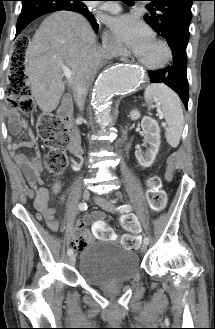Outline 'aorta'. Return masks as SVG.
<instances>
[{
  "label": "aorta",
  "instance_id": "1",
  "mask_svg": "<svg viewBox=\"0 0 215 329\" xmlns=\"http://www.w3.org/2000/svg\"><path fill=\"white\" fill-rule=\"evenodd\" d=\"M143 78L140 68L133 65L114 64L101 73L92 91V104L101 126L111 123L109 107L112 97L117 93L135 91Z\"/></svg>",
  "mask_w": 215,
  "mask_h": 329
}]
</instances>
